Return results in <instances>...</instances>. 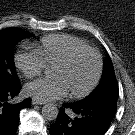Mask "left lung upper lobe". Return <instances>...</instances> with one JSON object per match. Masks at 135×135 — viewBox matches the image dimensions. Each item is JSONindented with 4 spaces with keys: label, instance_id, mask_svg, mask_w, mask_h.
Instances as JSON below:
<instances>
[{
    "label": "left lung upper lobe",
    "instance_id": "left-lung-upper-lobe-1",
    "mask_svg": "<svg viewBox=\"0 0 135 135\" xmlns=\"http://www.w3.org/2000/svg\"><path fill=\"white\" fill-rule=\"evenodd\" d=\"M106 98H118V85L114 73L112 61L109 56L104 62V70L99 85L83 100L90 101Z\"/></svg>",
    "mask_w": 135,
    "mask_h": 135
}]
</instances>
